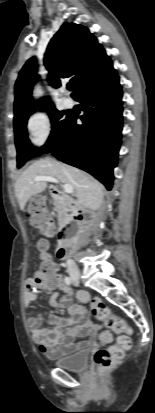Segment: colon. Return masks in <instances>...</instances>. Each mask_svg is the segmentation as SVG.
Instances as JSON below:
<instances>
[{
  "label": "colon",
  "mask_w": 155,
  "mask_h": 413,
  "mask_svg": "<svg viewBox=\"0 0 155 413\" xmlns=\"http://www.w3.org/2000/svg\"><path fill=\"white\" fill-rule=\"evenodd\" d=\"M45 192H34L33 201L25 210V215L30 225L40 232H48L52 229V221L48 214ZM37 249L40 252V271L47 278V283L53 285L56 281L55 269L51 256L48 252V243L44 239H39ZM91 309L94 316L105 323L114 332L121 334L117 341L108 348L99 349L94 355L95 364L102 370L114 367L123 358L124 353L131 348V329L127 322L112 314L109 307L100 299L91 301Z\"/></svg>",
  "instance_id": "obj_1"
}]
</instances>
